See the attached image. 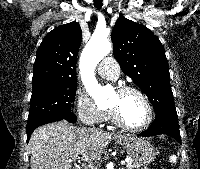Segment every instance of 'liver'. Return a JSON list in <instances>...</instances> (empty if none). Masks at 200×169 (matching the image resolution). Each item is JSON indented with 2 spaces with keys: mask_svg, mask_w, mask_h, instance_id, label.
<instances>
[{
  "mask_svg": "<svg viewBox=\"0 0 200 169\" xmlns=\"http://www.w3.org/2000/svg\"><path fill=\"white\" fill-rule=\"evenodd\" d=\"M112 134L94 128H76L67 121L37 128L30 138L31 169H71V161L100 158Z\"/></svg>",
  "mask_w": 200,
  "mask_h": 169,
  "instance_id": "obj_1",
  "label": "liver"
}]
</instances>
